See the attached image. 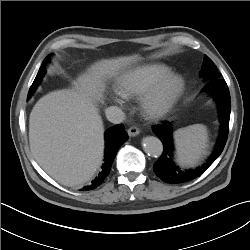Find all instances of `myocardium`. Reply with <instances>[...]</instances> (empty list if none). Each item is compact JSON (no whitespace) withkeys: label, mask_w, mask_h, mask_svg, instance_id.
<instances>
[{"label":"myocardium","mask_w":250,"mask_h":250,"mask_svg":"<svg viewBox=\"0 0 250 250\" xmlns=\"http://www.w3.org/2000/svg\"><path fill=\"white\" fill-rule=\"evenodd\" d=\"M185 89V80L179 74H169L155 82L140 98L143 114L150 120L164 117Z\"/></svg>","instance_id":"myocardium-1"}]
</instances>
